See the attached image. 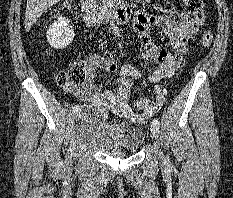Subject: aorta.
<instances>
[{
  "mask_svg": "<svg viewBox=\"0 0 233 198\" xmlns=\"http://www.w3.org/2000/svg\"><path fill=\"white\" fill-rule=\"evenodd\" d=\"M110 26H111L113 33L115 35L119 36V30H118L117 26L115 24H113V22H110Z\"/></svg>",
  "mask_w": 233,
  "mask_h": 198,
  "instance_id": "aorta-1",
  "label": "aorta"
}]
</instances>
